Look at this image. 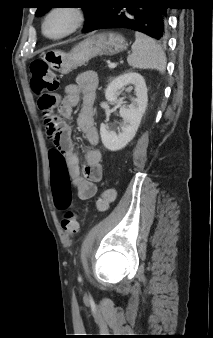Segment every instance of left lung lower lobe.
<instances>
[{
  "instance_id": "1",
  "label": "left lung lower lobe",
  "mask_w": 213,
  "mask_h": 338,
  "mask_svg": "<svg viewBox=\"0 0 213 338\" xmlns=\"http://www.w3.org/2000/svg\"><path fill=\"white\" fill-rule=\"evenodd\" d=\"M122 5L129 6L124 9ZM166 9L158 0H103L99 13L83 32L127 28L164 42L167 37Z\"/></svg>"
}]
</instances>
